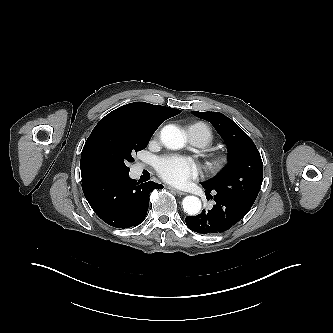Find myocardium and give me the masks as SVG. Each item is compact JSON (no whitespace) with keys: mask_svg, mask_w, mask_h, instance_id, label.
Listing matches in <instances>:
<instances>
[{"mask_svg":"<svg viewBox=\"0 0 333 333\" xmlns=\"http://www.w3.org/2000/svg\"><path fill=\"white\" fill-rule=\"evenodd\" d=\"M230 158L227 154H215L208 161L209 169L214 173L223 171L229 164Z\"/></svg>","mask_w":333,"mask_h":333,"instance_id":"obj_1","label":"myocardium"}]
</instances>
